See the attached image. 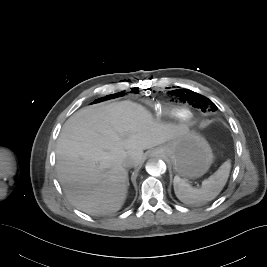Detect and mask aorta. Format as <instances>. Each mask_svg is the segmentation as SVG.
<instances>
[{"label": "aorta", "instance_id": "1", "mask_svg": "<svg viewBox=\"0 0 267 267\" xmlns=\"http://www.w3.org/2000/svg\"><path fill=\"white\" fill-rule=\"evenodd\" d=\"M145 168L148 174L152 176H160L165 173L166 164L158 158H152L148 160Z\"/></svg>", "mask_w": 267, "mask_h": 267}]
</instances>
